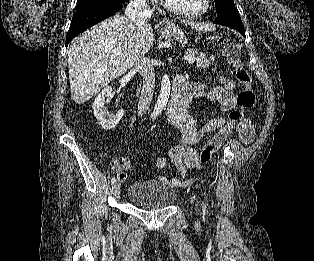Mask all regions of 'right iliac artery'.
<instances>
[{
  "mask_svg": "<svg viewBox=\"0 0 314 261\" xmlns=\"http://www.w3.org/2000/svg\"><path fill=\"white\" fill-rule=\"evenodd\" d=\"M112 184H114L116 182V178L113 177L112 180H111Z\"/></svg>",
  "mask_w": 314,
  "mask_h": 261,
  "instance_id": "1",
  "label": "right iliac artery"
}]
</instances>
